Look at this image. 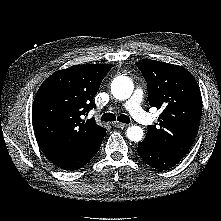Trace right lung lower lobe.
<instances>
[{"label": "right lung lower lobe", "mask_w": 221, "mask_h": 221, "mask_svg": "<svg viewBox=\"0 0 221 221\" xmlns=\"http://www.w3.org/2000/svg\"><path fill=\"white\" fill-rule=\"evenodd\" d=\"M102 140L99 143H97L94 147L80 154H44L53 164L64 170H77L83 167L86 163H88L92 159V157L99 151Z\"/></svg>", "instance_id": "98d812e1"}]
</instances>
